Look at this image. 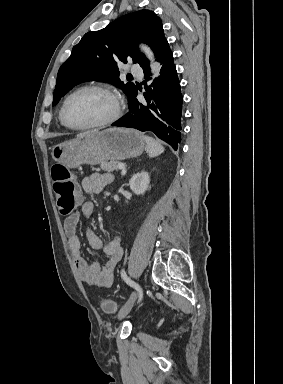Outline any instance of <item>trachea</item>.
Returning a JSON list of instances; mask_svg holds the SVG:
<instances>
[{
	"label": "trachea",
	"mask_w": 283,
	"mask_h": 384,
	"mask_svg": "<svg viewBox=\"0 0 283 384\" xmlns=\"http://www.w3.org/2000/svg\"><path fill=\"white\" fill-rule=\"evenodd\" d=\"M127 77H131L132 78V75H127Z\"/></svg>",
	"instance_id": "3493384b"
}]
</instances>
